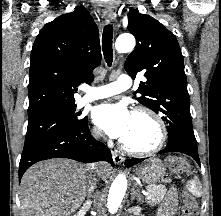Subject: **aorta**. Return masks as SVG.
Wrapping results in <instances>:
<instances>
[{"mask_svg":"<svg viewBox=\"0 0 221 216\" xmlns=\"http://www.w3.org/2000/svg\"><path fill=\"white\" fill-rule=\"evenodd\" d=\"M135 47V38L131 34L119 35L115 42V48L119 53L131 52ZM127 189L125 175H118L113 181L107 199V207L110 213H115L124 198Z\"/></svg>","mask_w":221,"mask_h":216,"instance_id":"1","label":"aorta"}]
</instances>
